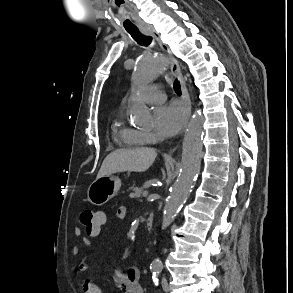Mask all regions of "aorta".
<instances>
[{"mask_svg":"<svg viewBox=\"0 0 293 293\" xmlns=\"http://www.w3.org/2000/svg\"><path fill=\"white\" fill-rule=\"evenodd\" d=\"M167 69L164 57L160 53H150L141 56L132 75L135 88H142L163 75ZM132 120L138 125H148L152 115L142 103L132 101L129 107ZM204 117L200 110H196L190 119L187 132L183 140L181 168L177 180L173 184L163 211L162 227L167 228L175 219L178 211L186 201L193 187L200 168L202 154V134ZM154 271L162 268L159 257L151 264Z\"/></svg>","mask_w":293,"mask_h":293,"instance_id":"aorta-1","label":"aorta"}]
</instances>
